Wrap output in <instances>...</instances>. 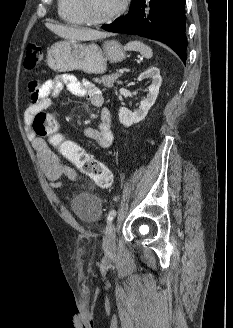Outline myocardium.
Listing matches in <instances>:
<instances>
[{
  "label": "myocardium",
  "mask_w": 233,
  "mask_h": 328,
  "mask_svg": "<svg viewBox=\"0 0 233 328\" xmlns=\"http://www.w3.org/2000/svg\"><path fill=\"white\" fill-rule=\"evenodd\" d=\"M76 5L80 13L82 14L85 22L89 25L98 26L106 23H110L120 17L128 7V0H122L119 7L115 9L113 12L108 14L102 18H94L92 17L87 9V2L86 0H75Z\"/></svg>",
  "instance_id": "obj_1"
}]
</instances>
